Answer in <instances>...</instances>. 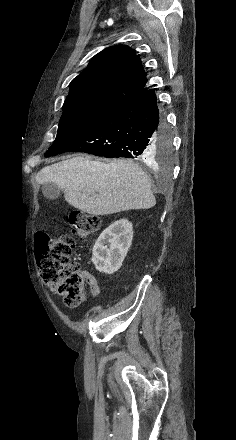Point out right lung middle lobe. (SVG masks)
Here are the masks:
<instances>
[{
  "label": "right lung middle lobe",
  "mask_w": 236,
  "mask_h": 440,
  "mask_svg": "<svg viewBox=\"0 0 236 440\" xmlns=\"http://www.w3.org/2000/svg\"><path fill=\"white\" fill-rule=\"evenodd\" d=\"M63 107L57 137L49 150L58 148L66 141L87 130L115 108L112 105L93 102L64 103ZM155 145L157 148L156 160L161 163L168 161L171 156V139L166 131L155 140Z\"/></svg>",
  "instance_id": "right-lung-middle-lobe-1"
}]
</instances>
